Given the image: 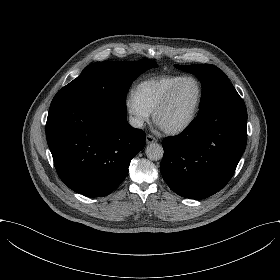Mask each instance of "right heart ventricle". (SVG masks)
<instances>
[{
    "mask_svg": "<svg viewBox=\"0 0 280 280\" xmlns=\"http://www.w3.org/2000/svg\"><path fill=\"white\" fill-rule=\"evenodd\" d=\"M183 77L180 74H170L144 79L135 86L133 93L140 104L152 113Z\"/></svg>",
    "mask_w": 280,
    "mask_h": 280,
    "instance_id": "e07e8e85",
    "label": "right heart ventricle"
}]
</instances>
